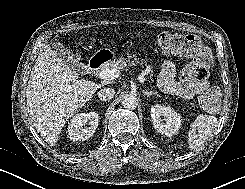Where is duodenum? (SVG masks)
Wrapping results in <instances>:
<instances>
[{
	"label": "duodenum",
	"mask_w": 245,
	"mask_h": 189,
	"mask_svg": "<svg viewBox=\"0 0 245 189\" xmlns=\"http://www.w3.org/2000/svg\"><path fill=\"white\" fill-rule=\"evenodd\" d=\"M112 59V54L107 50H101L94 54L89 61V71L96 72L102 68L104 64Z\"/></svg>",
	"instance_id": "410a0bca"
}]
</instances>
